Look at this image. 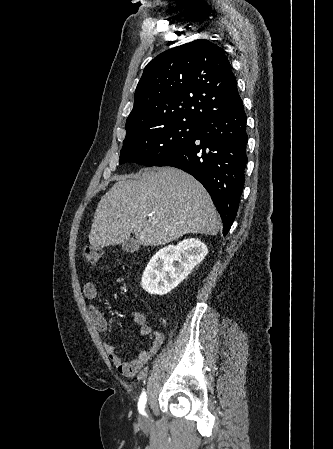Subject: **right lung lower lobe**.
Listing matches in <instances>:
<instances>
[{
  "label": "right lung lower lobe",
  "instance_id": "right-lung-lower-lobe-1",
  "mask_svg": "<svg viewBox=\"0 0 333 449\" xmlns=\"http://www.w3.org/2000/svg\"><path fill=\"white\" fill-rule=\"evenodd\" d=\"M247 117L241 98L210 114L195 134L155 166L179 168L203 184L223 222V235L235 219L247 164Z\"/></svg>",
  "mask_w": 333,
  "mask_h": 449
}]
</instances>
